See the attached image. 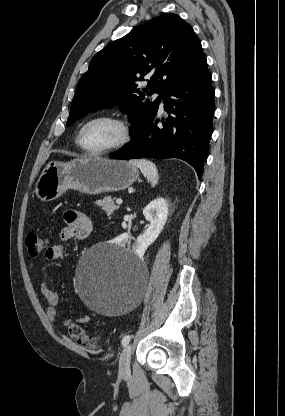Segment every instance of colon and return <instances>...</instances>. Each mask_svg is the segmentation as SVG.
Instances as JSON below:
<instances>
[{
  "label": "colon",
  "instance_id": "5ec220e1",
  "mask_svg": "<svg viewBox=\"0 0 285 416\" xmlns=\"http://www.w3.org/2000/svg\"><path fill=\"white\" fill-rule=\"evenodd\" d=\"M27 251L30 257L36 258L46 247L44 238L38 233H29L26 237ZM70 337L77 343L87 347H95L98 340L88 335L78 324H71L68 327Z\"/></svg>",
  "mask_w": 285,
  "mask_h": 416
}]
</instances>
